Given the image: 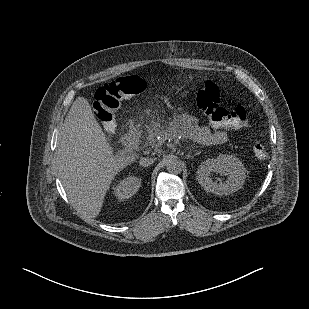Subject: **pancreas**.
<instances>
[{
	"label": "pancreas",
	"instance_id": "obj_1",
	"mask_svg": "<svg viewBox=\"0 0 309 309\" xmlns=\"http://www.w3.org/2000/svg\"><path fill=\"white\" fill-rule=\"evenodd\" d=\"M169 131H173L172 128L169 129H158V128H154L151 129L150 131H148L145 135V142L144 145L145 146H150L151 148H159L162 144L163 139H159L157 140V136H166L168 135Z\"/></svg>",
	"mask_w": 309,
	"mask_h": 309
}]
</instances>
